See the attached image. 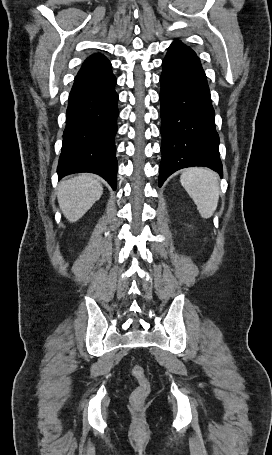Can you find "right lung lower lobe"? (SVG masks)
Returning a JSON list of instances; mask_svg holds the SVG:
<instances>
[{
  "mask_svg": "<svg viewBox=\"0 0 272 455\" xmlns=\"http://www.w3.org/2000/svg\"><path fill=\"white\" fill-rule=\"evenodd\" d=\"M117 80L109 70L74 82L66 111V128L58 162V177L91 172L115 190L117 159L114 136L118 95Z\"/></svg>",
  "mask_w": 272,
  "mask_h": 455,
  "instance_id": "obj_1",
  "label": "right lung lower lobe"
}]
</instances>
